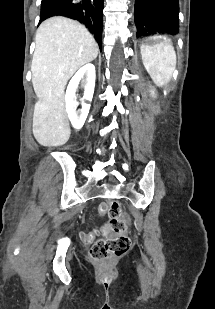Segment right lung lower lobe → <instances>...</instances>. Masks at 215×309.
Here are the masks:
<instances>
[{"mask_svg":"<svg viewBox=\"0 0 215 309\" xmlns=\"http://www.w3.org/2000/svg\"><path fill=\"white\" fill-rule=\"evenodd\" d=\"M104 0H42L39 24L53 16H65L86 25L101 46Z\"/></svg>","mask_w":215,"mask_h":309,"instance_id":"1","label":"right lung lower lobe"}]
</instances>
